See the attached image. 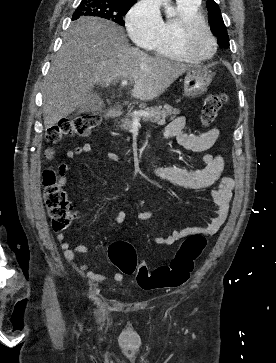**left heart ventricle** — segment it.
I'll return each instance as SVG.
<instances>
[{
	"label": "left heart ventricle",
	"mask_w": 276,
	"mask_h": 363,
	"mask_svg": "<svg viewBox=\"0 0 276 363\" xmlns=\"http://www.w3.org/2000/svg\"><path fill=\"white\" fill-rule=\"evenodd\" d=\"M189 47L195 54L206 56L212 51V41L203 28H198L189 39Z\"/></svg>",
	"instance_id": "left-heart-ventricle-1"
}]
</instances>
